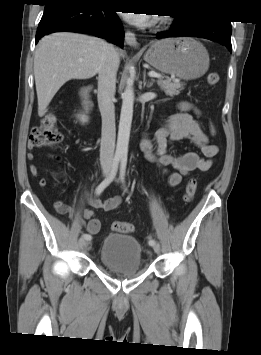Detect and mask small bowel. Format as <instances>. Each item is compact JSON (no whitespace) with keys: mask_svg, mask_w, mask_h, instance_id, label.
<instances>
[{"mask_svg":"<svg viewBox=\"0 0 261 355\" xmlns=\"http://www.w3.org/2000/svg\"><path fill=\"white\" fill-rule=\"evenodd\" d=\"M180 112L173 115L162 127H160L153 136H144L141 142V150L146 159L156 164L168 185L178 186L182 183L183 177L190 175L196 170H209L214 159L218 154V147L209 142L207 135L201 129L195 117H199L200 110L190 102L182 101L179 103ZM179 141H189L195 145L200 153L188 151L180 155L171 153V148ZM33 145L29 143L30 151L27 154L28 159L34 158L31 151ZM32 176H37L39 170L37 166H30ZM46 180H40V185L45 186ZM87 202L93 208H100L106 212H112L118 209L122 203L120 196H114L106 200H100L87 195ZM61 212L70 214L74 219L80 221L90 234L99 232L101 223L92 209H85L83 217L87 223L79 219L77 211L63 204H58Z\"/></svg>","mask_w":261,"mask_h":355,"instance_id":"obj_1","label":"small bowel"}]
</instances>
